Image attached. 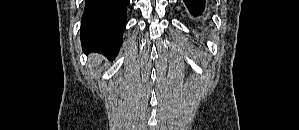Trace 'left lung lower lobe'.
Wrapping results in <instances>:
<instances>
[{
  "label": "left lung lower lobe",
  "mask_w": 299,
  "mask_h": 130,
  "mask_svg": "<svg viewBox=\"0 0 299 130\" xmlns=\"http://www.w3.org/2000/svg\"><path fill=\"white\" fill-rule=\"evenodd\" d=\"M184 2L193 15L202 14L205 7V0H184Z\"/></svg>",
  "instance_id": "obj_1"
}]
</instances>
